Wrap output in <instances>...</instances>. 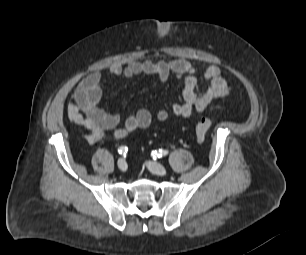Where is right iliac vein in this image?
Masks as SVG:
<instances>
[{
  "label": "right iliac vein",
  "instance_id": "obj_1",
  "mask_svg": "<svg viewBox=\"0 0 306 255\" xmlns=\"http://www.w3.org/2000/svg\"><path fill=\"white\" fill-rule=\"evenodd\" d=\"M117 166L121 171H123V172L126 171L127 163H126L125 159H123V158L119 159L118 162H117Z\"/></svg>",
  "mask_w": 306,
  "mask_h": 255
}]
</instances>
